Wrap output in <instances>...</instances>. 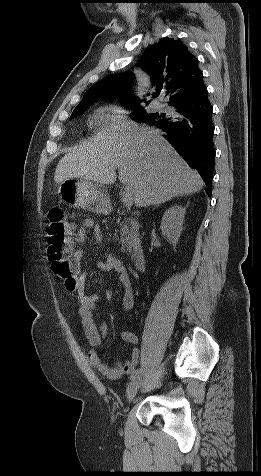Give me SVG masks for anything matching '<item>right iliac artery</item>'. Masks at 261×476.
I'll use <instances>...</instances> for the list:
<instances>
[{"label":"right iliac artery","mask_w":261,"mask_h":476,"mask_svg":"<svg viewBox=\"0 0 261 476\" xmlns=\"http://www.w3.org/2000/svg\"><path fill=\"white\" fill-rule=\"evenodd\" d=\"M140 372H141V369H135V370L131 373V375H130V380H133V379H135L136 377H138L139 374H140Z\"/></svg>","instance_id":"1"}]
</instances>
